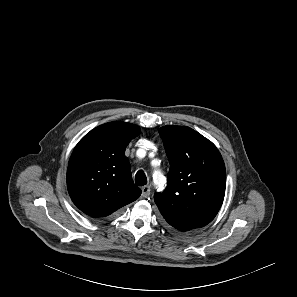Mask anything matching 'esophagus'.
Listing matches in <instances>:
<instances>
[{"instance_id": "obj_1", "label": "esophagus", "mask_w": 297, "mask_h": 297, "mask_svg": "<svg viewBox=\"0 0 297 297\" xmlns=\"http://www.w3.org/2000/svg\"><path fill=\"white\" fill-rule=\"evenodd\" d=\"M142 191V197L147 198L150 195V187L149 186H143L141 188Z\"/></svg>"}]
</instances>
